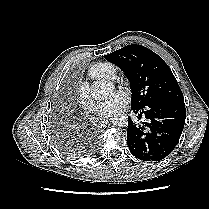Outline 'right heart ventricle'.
Returning <instances> with one entry per match:
<instances>
[{"label": "right heart ventricle", "mask_w": 209, "mask_h": 209, "mask_svg": "<svg viewBox=\"0 0 209 209\" xmlns=\"http://www.w3.org/2000/svg\"><path fill=\"white\" fill-rule=\"evenodd\" d=\"M117 69L110 62H98L93 64L87 71V75L96 80H111L115 78Z\"/></svg>", "instance_id": "1"}]
</instances>
